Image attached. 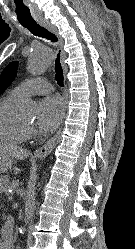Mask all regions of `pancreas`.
Segmentation results:
<instances>
[{"label":"pancreas","mask_w":135,"mask_h":249,"mask_svg":"<svg viewBox=\"0 0 135 249\" xmlns=\"http://www.w3.org/2000/svg\"><path fill=\"white\" fill-rule=\"evenodd\" d=\"M18 181L17 180H14V181H12L8 186H6L5 187V189H7V188H12V189H14V188H16L17 186H18Z\"/></svg>","instance_id":"pancreas-1"}]
</instances>
